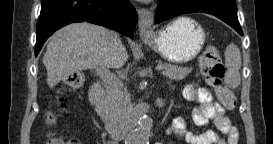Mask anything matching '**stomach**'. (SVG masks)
<instances>
[{"instance_id":"0dacf381","label":"stomach","mask_w":273,"mask_h":144,"mask_svg":"<svg viewBox=\"0 0 273 144\" xmlns=\"http://www.w3.org/2000/svg\"><path fill=\"white\" fill-rule=\"evenodd\" d=\"M161 57L172 63H186L194 59L205 42L200 24L188 17H179L153 34L143 38Z\"/></svg>"}]
</instances>
